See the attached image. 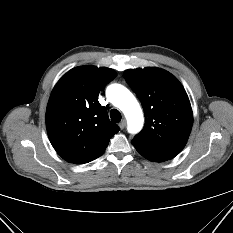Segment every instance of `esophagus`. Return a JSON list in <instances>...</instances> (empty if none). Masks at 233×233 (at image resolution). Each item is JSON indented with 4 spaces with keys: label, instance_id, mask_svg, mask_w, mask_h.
I'll list each match as a JSON object with an SVG mask.
<instances>
[{
    "label": "esophagus",
    "instance_id": "1",
    "mask_svg": "<svg viewBox=\"0 0 233 233\" xmlns=\"http://www.w3.org/2000/svg\"><path fill=\"white\" fill-rule=\"evenodd\" d=\"M125 126H126V121H125V120H122V121L119 123L120 129H124Z\"/></svg>",
    "mask_w": 233,
    "mask_h": 233
}]
</instances>
